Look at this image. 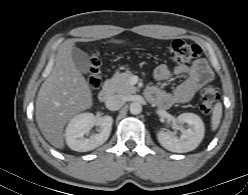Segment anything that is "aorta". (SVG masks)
<instances>
[{"mask_svg":"<svg viewBox=\"0 0 248 195\" xmlns=\"http://www.w3.org/2000/svg\"><path fill=\"white\" fill-rule=\"evenodd\" d=\"M142 111V106L138 102H133L130 104V113L133 115H138Z\"/></svg>","mask_w":248,"mask_h":195,"instance_id":"obj_1","label":"aorta"}]
</instances>
